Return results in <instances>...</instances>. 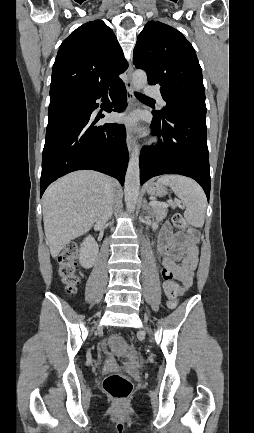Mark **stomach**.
Instances as JSON below:
<instances>
[{
    "instance_id": "1",
    "label": "stomach",
    "mask_w": 254,
    "mask_h": 433,
    "mask_svg": "<svg viewBox=\"0 0 254 433\" xmlns=\"http://www.w3.org/2000/svg\"><path fill=\"white\" fill-rule=\"evenodd\" d=\"M147 192L151 196H164L167 193V189L163 184L150 182L147 186Z\"/></svg>"
}]
</instances>
